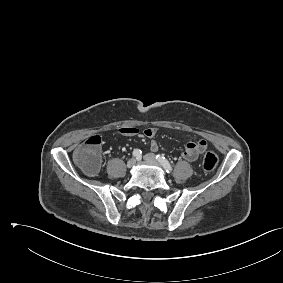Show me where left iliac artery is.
I'll return each instance as SVG.
<instances>
[{
    "label": "left iliac artery",
    "mask_w": 283,
    "mask_h": 283,
    "mask_svg": "<svg viewBox=\"0 0 283 283\" xmlns=\"http://www.w3.org/2000/svg\"><path fill=\"white\" fill-rule=\"evenodd\" d=\"M156 158L161 163V165L164 167L166 172L170 173L172 171V166L170 165V163L164 156L156 155Z\"/></svg>",
    "instance_id": "left-iliac-artery-1"
}]
</instances>
